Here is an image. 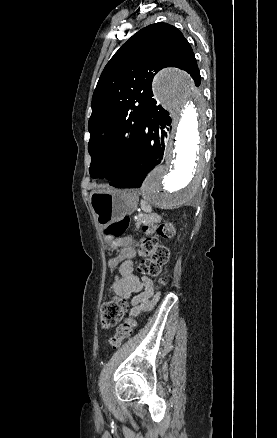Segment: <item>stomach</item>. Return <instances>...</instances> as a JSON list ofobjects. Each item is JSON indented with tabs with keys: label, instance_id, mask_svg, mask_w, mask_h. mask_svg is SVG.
Here are the masks:
<instances>
[{
	"label": "stomach",
	"instance_id": "obj_1",
	"mask_svg": "<svg viewBox=\"0 0 277 438\" xmlns=\"http://www.w3.org/2000/svg\"><path fill=\"white\" fill-rule=\"evenodd\" d=\"M92 210L97 222L102 229L120 221L125 216L132 214L137 209V199L131 190L127 189H108L95 191L90 196ZM103 239L108 249L114 246L122 248L123 253L128 247V241L124 238H114L112 235L103 232ZM123 255L111 259L109 264L115 266Z\"/></svg>",
	"mask_w": 277,
	"mask_h": 438
}]
</instances>
